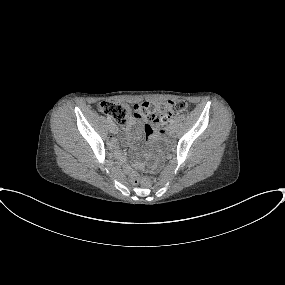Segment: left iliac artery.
<instances>
[{"instance_id":"44dca946","label":"left iliac artery","mask_w":285,"mask_h":285,"mask_svg":"<svg viewBox=\"0 0 285 285\" xmlns=\"http://www.w3.org/2000/svg\"><path fill=\"white\" fill-rule=\"evenodd\" d=\"M170 124L172 125L174 123V120L173 119H170Z\"/></svg>"}]
</instances>
